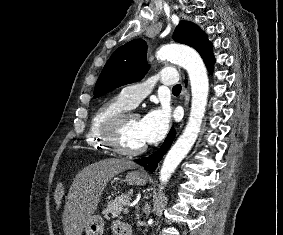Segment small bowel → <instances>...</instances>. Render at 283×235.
<instances>
[{
    "mask_svg": "<svg viewBox=\"0 0 283 235\" xmlns=\"http://www.w3.org/2000/svg\"><path fill=\"white\" fill-rule=\"evenodd\" d=\"M116 226H117V224H115V226H114V228H115V231H116Z\"/></svg>",
    "mask_w": 283,
    "mask_h": 235,
    "instance_id": "1",
    "label": "small bowel"
}]
</instances>
